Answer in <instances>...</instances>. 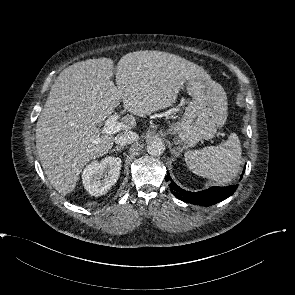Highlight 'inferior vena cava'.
<instances>
[{
    "mask_svg": "<svg viewBox=\"0 0 295 295\" xmlns=\"http://www.w3.org/2000/svg\"><path fill=\"white\" fill-rule=\"evenodd\" d=\"M139 139V135L136 132L127 131L118 134L115 137V143L118 145H127L131 144Z\"/></svg>",
    "mask_w": 295,
    "mask_h": 295,
    "instance_id": "inferior-vena-cava-1",
    "label": "inferior vena cava"
}]
</instances>
